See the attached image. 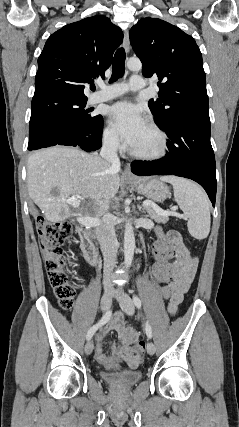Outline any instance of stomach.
Listing matches in <instances>:
<instances>
[{"instance_id":"1","label":"stomach","mask_w":239,"mask_h":427,"mask_svg":"<svg viewBox=\"0 0 239 427\" xmlns=\"http://www.w3.org/2000/svg\"><path fill=\"white\" fill-rule=\"evenodd\" d=\"M127 185L138 194L156 202H163L169 194L168 186L155 178H139L134 182H128Z\"/></svg>"}]
</instances>
